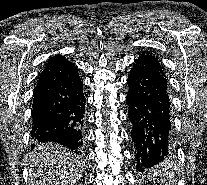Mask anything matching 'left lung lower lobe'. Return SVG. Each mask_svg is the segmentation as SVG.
<instances>
[{"instance_id": "0a47b994", "label": "left lung lower lobe", "mask_w": 207, "mask_h": 185, "mask_svg": "<svg viewBox=\"0 0 207 185\" xmlns=\"http://www.w3.org/2000/svg\"><path fill=\"white\" fill-rule=\"evenodd\" d=\"M127 83L126 103L133 128L137 170L159 164L172 155L171 103L166 76L159 71L133 66Z\"/></svg>"}]
</instances>
